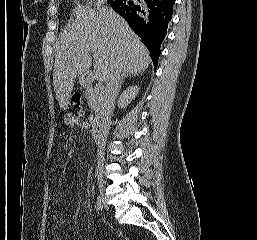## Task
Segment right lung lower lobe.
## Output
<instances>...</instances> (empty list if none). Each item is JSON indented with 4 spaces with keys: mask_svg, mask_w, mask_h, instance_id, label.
Listing matches in <instances>:
<instances>
[{
    "mask_svg": "<svg viewBox=\"0 0 257 240\" xmlns=\"http://www.w3.org/2000/svg\"><path fill=\"white\" fill-rule=\"evenodd\" d=\"M109 3L144 41L156 68L175 0H113Z\"/></svg>",
    "mask_w": 257,
    "mask_h": 240,
    "instance_id": "right-lung-lower-lobe-1",
    "label": "right lung lower lobe"
}]
</instances>
